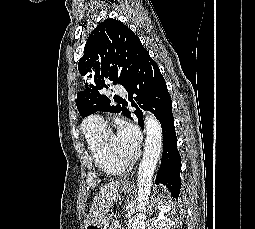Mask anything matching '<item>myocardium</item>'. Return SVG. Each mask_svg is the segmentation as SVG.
Returning a JSON list of instances; mask_svg holds the SVG:
<instances>
[{"label":"myocardium","instance_id":"f54148a6","mask_svg":"<svg viewBox=\"0 0 255 229\" xmlns=\"http://www.w3.org/2000/svg\"><path fill=\"white\" fill-rule=\"evenodd\" d=\"M101 145H102V149H103L104 153L111 159V161L114 162L115 164H117L118 166L124 168V170H125V168L132 166L137 160V157H138L137 154L133 155L128 160H123V159L118 158L114 153H112L109 150L107 143L105 141V137H102Z\"/></svg>","mask_w":255,"mask_h":229}]
</instances>
